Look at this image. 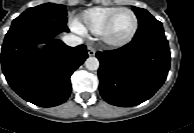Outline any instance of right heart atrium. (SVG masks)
Returning <instances> with one entry per match:
<instances>
[{
  "label": "right heart atrium",
  "mask_w": 194,
  "mask_h": 133,
  "mask_svg": "<svg viewBox=\"0 0 194 133\" xmlns=\"http://www.w3.org/2000/svg\"><path fill=\"white\" fill-rule=\"evenodd\" d=\"M70 26L72 30L78 34H84L85 33V28L84 26L76 19L72 20L70 23Z\"/></svg>",
  "instance_id": "obj_1"
}]
</instances>
